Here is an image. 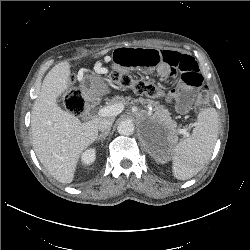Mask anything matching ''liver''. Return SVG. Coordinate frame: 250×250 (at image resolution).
Masks as SVG:
<instances>
[{
	"label": "liver",
	"mask_w": 250,
	"mask_h": 250,
	"mask_svg": "<svg viewBox=\"0 0 250 250\" xmlns=\"http://www.w3.org/2000/svg\"><path fill=\"white\" fill-rule=\"evenodd\" d=\"M70 67L69 62L63 61L49 71L31 114L34 151L45 169L65 184L73 181L80 155L98 137V123L102 119L81 123L58 106L57 98L70 86Z\"/></svg>",
	"instance_id": "obj_1"
}]
</instances>
